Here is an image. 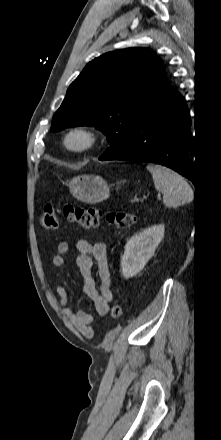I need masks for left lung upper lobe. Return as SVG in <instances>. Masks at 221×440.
Instances as JSON below:
<instances>
[{"label":"left lung upper lobe","mask_w":221,"mask_h":440,"mask_svg":"<svg viewBox=\"0 0 221 440\" xmlns=\"http://www.w3.org/2000/svg\"><path fill=\"white\" fill-rule=\"evenodd\" d=\"M168 84L162 60L148 48L103 54L69 86L51 131L95 126L111 144L102 156L116 158L128 148L140 116Z\"/></svg>","instance_id":"left-lung-upper-lobe-1"}]
</instances>
